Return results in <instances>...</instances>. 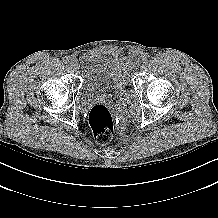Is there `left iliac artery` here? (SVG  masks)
<instances>
[{"mask_svg": "<svg viewBox=\"0 0 218 218\" xmlns=\"http://www.w3.org/2000/svg\"><path fill=\"white\" fill-rule=\"evenodd\" d=\"M148 59H149L148 53H144V54L142 55V60L146 62Z\"/></svg>", "mask_w": 218, "mask_h": 218, "instance_id": "44dca946", "label": "left iliac artery"}]
</instances>
